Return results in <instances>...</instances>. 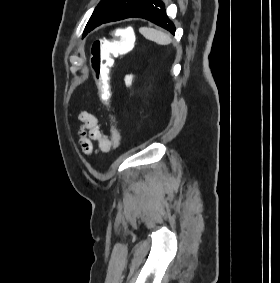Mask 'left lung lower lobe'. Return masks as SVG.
I'll list each match as a JSON object with an SVG mask.
<instances>
[{"label":"left lung lower lobe","instance_id":"left-lung-lower-lobe-1","mask_svg":"<svg viewBox=\"0 0 280 283\" xmlns=\"http://www.w3.org/2000/svg\"><path fill=\"white\" fill-rule=\"evenodd\" d=\"M129 17L147 19L155 23L156 25L168 30L170 33L175 34V26L166 15L164 4L160 0H147L143 6H141L130 16L113 18L103 23L118 21Z\"/></svg>","mask_w":280,"mask_h":283}]
</instances>
